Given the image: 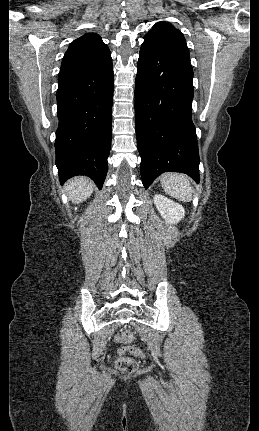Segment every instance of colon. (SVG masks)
<instances>
[{
	"label": "colon",
	"mask_w": 259,
	"mask_h": 431,
	"mask_svg": "<svg viewBox=\"0 0 259 431\" xmlns=\"http://www.w3.org/2000/svg\"><path fill=\"white\" fill-rule=\"evenodd\" d=\"M134 334L130 329L122 330L116 337V340L125 346L121 348L116 358V366L119 370L126 373H133L138 369V361L134 358L125 356L127 353L135 356H143L139 348L131 347L129 344L133 341Z\"/></svg>",
	"instance_id": "obj_1"
}]
</instances>
